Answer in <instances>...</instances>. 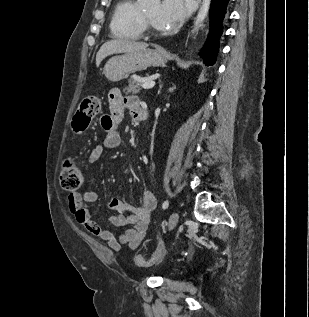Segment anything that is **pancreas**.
<instances>
[{
  "mask_svg": "<svg viewBox=\"0 0 309 317\" xmlns=\"http://www.w3.org/2000/svg\"><path fill=\"white\" fill-rule=\"evenodd\" d=\"M141 82L138 81L137 76H131L128 79V86L124 88L126 93L137 94L141 90Z\"/></svg>",
  "mask_w": 309,
  "mask_h": 317,
  "instance_id": "pancreas-1",
  "label": "pancreas"
}]
</instances>
